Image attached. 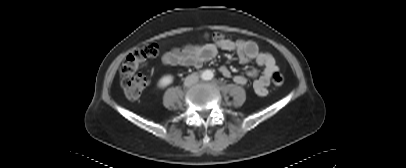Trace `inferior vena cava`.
<instances>
[{
  "label": "inferior vena cava",
  "mask_w": 406,
  "mask_h": 168,
  "mask_svg": "<svg viewBox=\"0 0 406 168\" xmlns=\"http://www.w3.org/2000/svg\"><path fill=\"white\" fill-rule=\"evenodd\" d=\"M198 81V76L197 75H189L186 77L184 84L186 86H190Z\"/></svg>",
  "instance_id": "602c4592"
}]
</instances>
